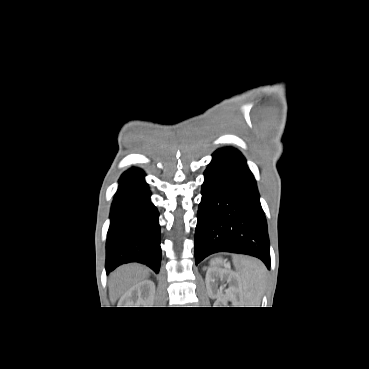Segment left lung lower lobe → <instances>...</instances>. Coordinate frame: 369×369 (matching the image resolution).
Listing matches in <instances>:
<instances>
[{"label": "left lung lower lobe", "instance_id": "left-lung-lower-lobe-1", "mask_svg": "<svg viewBox=\"0 0 369 369\" xmlns=\"http://www.w3.org/2000/svg\"><path fill=\"white\" fill-rule=\"evenodd\" d=\"M195 231L196 265L210 254L255 256L270 268L269 237L256 181L236 149L217 150L204 172Z\"/></svg>", "mask_w": 369, "mask_h": 369}]
</instances>
